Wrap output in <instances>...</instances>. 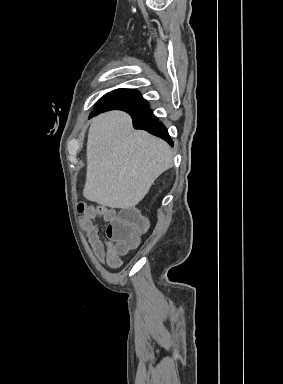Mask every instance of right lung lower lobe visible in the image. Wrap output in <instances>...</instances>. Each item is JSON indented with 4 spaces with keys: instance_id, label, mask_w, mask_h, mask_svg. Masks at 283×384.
I'll list each match as a JSON object with an SVG mask.
<instances>
[{
    "instance_id": "obj_1",
    "label": "right lung lower lobe",
    "mask_w": 283,
    "mask_h": 384,
    "mask_svg": "<svg viewBox=\"0 0 283 384\" xmlns=\"http://www.w3.org/2000/svg\"><path fill=\"white\" fill-rule=\"evenodd\" d=\"M109 110H122L130 114L133 121V126L135 129H143L147 132L158 136L164 140H166L169 144L173 145V141L170 138L166 127L158 121V118L152 113L151 109H145V110H136L133 108H122V107H116V108H110L106 110H97L96 112H92L90 117L96 116L100 114L101 112L109 111Z\"/></svg>"
}]
</instances>
